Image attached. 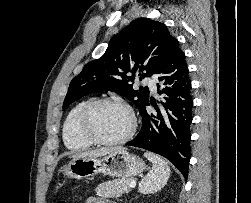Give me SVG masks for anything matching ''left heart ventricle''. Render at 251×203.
<instances>
[{"label":"left heart ventricle","instance_id":"1","mask_svg":"<svg viewBox=\"0 0 251 203\" xmlns=\"http://www.w3.org/2000/svg\"><path fill=\"white\" fill-rule=\"evenodd\" d=\"M130 124V116L123 107L116 104H103L94 110L90 129L99 138L114 140L125 135Z\"/></svg>","mask_w":251,"mask_h":203}]
</instances>
